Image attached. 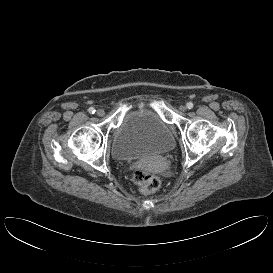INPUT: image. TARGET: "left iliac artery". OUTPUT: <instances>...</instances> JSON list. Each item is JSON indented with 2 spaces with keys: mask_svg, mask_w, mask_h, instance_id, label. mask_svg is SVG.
<instances>
[{
  "mask_svg": "<svg viewBox=\"0 0 273 273\" xmlns=\"http://www.w3.org/2000/svg\"><path fill=\"white\" fill-rule=\"evenodd\" d=\"M186 106L188 109H192L194 105L192 102H188Z\"/></svg>",
  "mask_w": 273,
  "mask_h": 273,
  "instance_id": "left-iliac-artery-1",
  "label": "left iliac artery"
}]
</instances>
